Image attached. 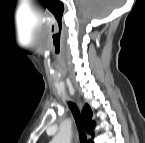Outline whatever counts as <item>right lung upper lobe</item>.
Wrapping results in <instances>:
<instances>
[{"label":"right lung upper lobe","instance_id":"1","mask_svg":"<svg viewBox=\"0 0 145 143\" xmlns=\"http://www.w3.org/2000/svg\"><path fill=\"white\" fill-rule=\"evenodd\" d=\"M92 112L88 105L82 111V121L85 126L86 131L94 137L93 129L95 127V122L91 120Z\"/></svg>","mask_w":145,"mask_h":143}]
</instances>
